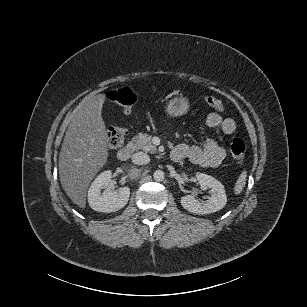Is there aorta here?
Listing matches in <instances>:
<instances>
[{"label": "aorta", "mask_w": 307, "mask_h": 307, "mask_svg": "<svg viewBox=\"0 0 307 307\" xmlns=\"http://www.w3.org/2000/svg\"><path fill=\"white\" fill-rule=\"evenodd\" d=\"M153 178L157 182H162L165 179V173L161 170H157L154 172Z\"/></svg>", "instance_id": "1"}]
</instances>
